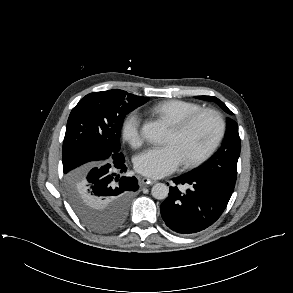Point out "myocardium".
<instances>
[{
	"label": "myocardium",
	"mask_w": 293,
	"mask_h": 293,
	"mask_svg": "<svg viewBox=\"0 0 293 293\" xmlns=\"http://www.w3.org/2000/svg\"><path fill=\"white\" fill-rule=\"evenodd\" d=\"M204 114H210L214 116L218 122V129L216 132V135L214 136L212 142L210 145L207 147V149L201 153L199 156L185 160L184 165L186 167L192 168V167H197L204 163L207 159H209L212 154L215 152L217 147L219 146L221 140L224 137L225 130H226V123L223 115L216 109L212 108H201L184 118L180 119L179 121L175 122L174 124L171 125V129L176 133V134H181L183 133L197 118Z\"/></svg>",
	"instance_id": "obj_1"
}]
</instances>
